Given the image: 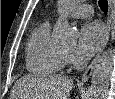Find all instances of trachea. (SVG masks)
<instances>
[{"instance_id": "3493384b", "label": "trachea", "mask_w": 115, "mask_h": 99, "mask_svg": "<svg viewBox=\"0 0 115 99\" xmlns=\"http://www.w3.org/2000/svg\"><path fill=\"white\" fill-rule=\"evenodd\" d=\"M99 7L104 13H107L108 11V2L107 0H99Z\"/></svg>"}]
</instances>
